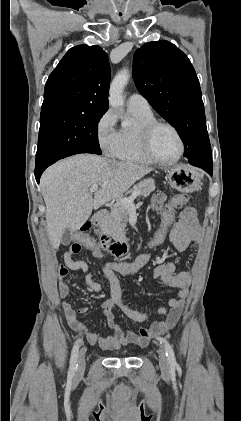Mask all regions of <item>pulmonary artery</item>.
<instances>
[{"instance_id":"pulmonary-artery-1","label":"pulmonary artery","mask_w":241,"mask_h":421,"mask_svg":"<svg viewBox=\"0 0 241 421\" xmlns=\"http://www.w3.org/2000/svg\"><path fill=\"white\" fill-rule=\"evenodd\" d=\"M127 106L129 109H135L140 111H151L150 104L140 94H131L127 100Z\"/></svg>"}]
</instances>
